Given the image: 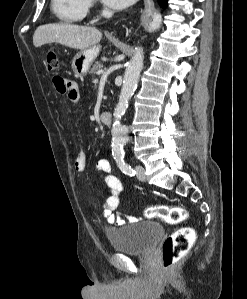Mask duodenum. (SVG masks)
Masks as SVG:
<instances>
[{
    "label": "duodenum",
    "instance_id": "1",
    "mask_svg": "<svg viewBox=\"0 0 247 299\" xmlns=\"http://www.w3.org/2000/svg\"><path fill=\"white\" fill-rule=\"evenodd\" d=\"M100 119L105 125H111L112 114L110 112H102L100 115Z\"/></svg>",
    "mask_w": 247,
    "mask_h": 299
}]
</instances>
